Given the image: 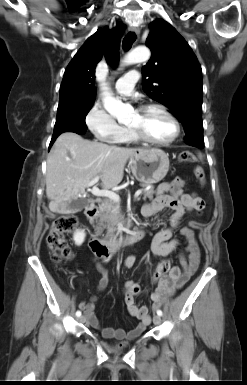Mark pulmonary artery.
<instances>
[{"instance_id": "pulmonary-artery-1", "label": "pulmonary artery", "mask_w": 247, "mask_h": 385, "mask_svg": "<svg viewBox=\"0 0 247 385\" xmlns=\"http://www.w3.org/2000/svg\"><path fill=\"white\" fill-rule=\"evenodd\" d=\"M139 79V73L136 70H131L119 78L115 84L118 94L121 96H130L133 93L134 85Z\"/></svg>"}]
</instances>
